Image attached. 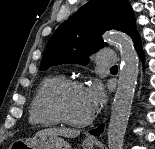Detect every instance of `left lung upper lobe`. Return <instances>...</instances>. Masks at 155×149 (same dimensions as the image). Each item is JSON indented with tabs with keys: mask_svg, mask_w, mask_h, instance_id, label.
Here are the masks:
<instances>
[{
	"mask_svg": "<svg viewBox=\"0 0 155 149\" xmlns=\"http://www.w3.org/2000/svg\"><path fill=\"white\" fill-rule=\"evenodd\" d=\"M116 29L132 36L136 32L133 10L127 0H90L63 22L48 41L39 70L51 66L79 63L107 46L106 30Z\"/></svg>",
	"mask_w": 155,
	"mask_h": 149,
	"instance_id": "1",
	"label": "left lung upper lobe"
}]
</instances>
